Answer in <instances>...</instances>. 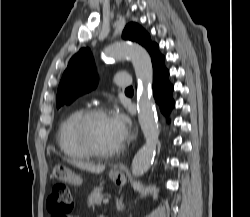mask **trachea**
<instances>
[{
	"label": "trachea",
	"instance_id": "3493384b",
	"mask_svg": "<svg viewBox=\"0 0 250 217\" xmlns=\"http://www.w3.org/2000/svg\"><path fill=\"white\" fill-rule=\"evenodd\" d=\"M126 91H133V88H132V87H128V88L126 89Z\"/></svg>",
	"mask_w": 250,
	"mask_h": 217
}]
</instances>
